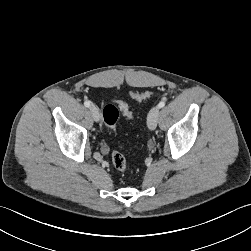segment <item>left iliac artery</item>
Here are the masks:
<instances>
[{"label":"left iliac artery","mask_w":251,"mask_h":251,"mask_svg":"<svg viewBox=\"0 0 251 251\" xmlns=\"http://www.w3.org/2000/svg\"><path fill=\"white\" fill-rule=\"evenodd\" d=\"M165 106V102L164 101H161L159 104H158V107L159 108H162V107H164Z\"/></svg>","instance_id":"left-iliac-artery-1"}]
</instances>
